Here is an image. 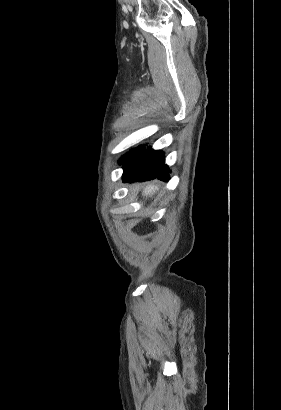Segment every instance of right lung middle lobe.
<instances>
[{"mask_svg":"<svg viewBox=\"0 0 281 410\" xmlns=\"http://www.w3.org/2000/svg\"><path fill=\"white\" fill-rule=\"evenodd\" d=\"M130 155V152H128L127 154H125L121 159H120V164H122L127 158H128V156Z\"/></svg>","mask_w":281,"mask_h":410,"instance_id":"1","label":"right lung middle lobe"}]
</instances>
